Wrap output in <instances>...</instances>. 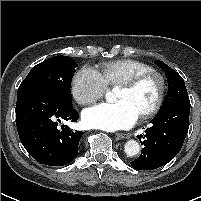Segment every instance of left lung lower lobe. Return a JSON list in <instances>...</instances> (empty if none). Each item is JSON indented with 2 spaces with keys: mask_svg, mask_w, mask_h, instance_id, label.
Segmentation results:
<instances>
[{
  "mask_svg": "<svg viewBox=\"0 0 201 201\" xmlns=\"http://www.w3.org/2000/svg\"><path fill=\"white\" fill-rule=\"evenodd\" d=\"M190 101L162 107L146 129L139 158L131 162L137 170L157 169L172 160L180 151L189 129ZM142 137V136H140ZM141 140V139H140Z\"/></svg>",
  "mask_w": 201,
  "mask_h": 201,
  "instance_id": "left-lung-lower-lobe-1",
  "label": "left lung lower lobe"
}]
</instances>
